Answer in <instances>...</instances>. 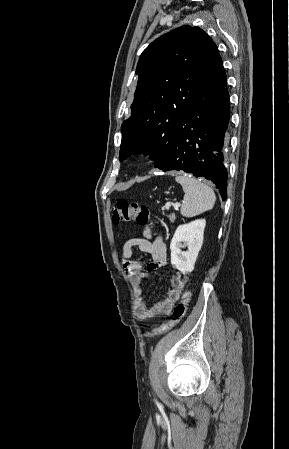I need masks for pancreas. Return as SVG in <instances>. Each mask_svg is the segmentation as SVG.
I'll return each mask as SVG.
<instances>
[{
  "label": "pancreas",
  "mask_w": 289,
  "mask_h": 449,
  "mask_svg": "<svg viewBox=\"0 0 289 449\" xmlns=\"http://www.w3.org/2000/svg\"><path fill=\"white\" fill-rule=\"evenodd\" d=\"M168 217H169V219H170L171 222H174L175 219H176V218H175V215H174L173 213L170 214Z\"/></svg>",
  "instance_id": "1"
}]
</instances>
